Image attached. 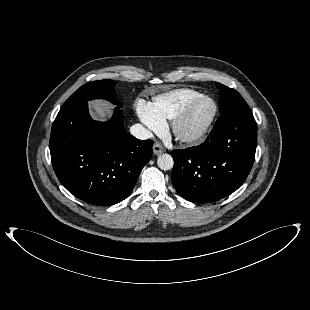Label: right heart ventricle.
I'll return each instance as SVG.
<instances>
[{"mask_svg":"<svg viewBox=\"0 0 310 310\" xmlns=\"http://www.w3.org/2000/svg\"><path fill=\"white\" fill-rule=\"evenodd\" d=\"M200 95L194 89L181 88L155 96L149 105L161 120H172L188 102Z\"/></svg>","mask_w":310,"mask_h":310,"instance_id":"right-heart-ventricle-1","label":"right heart ventricle"}]
</instances>
